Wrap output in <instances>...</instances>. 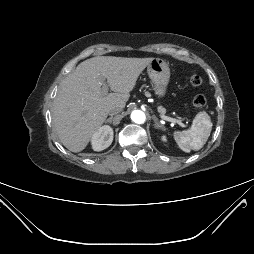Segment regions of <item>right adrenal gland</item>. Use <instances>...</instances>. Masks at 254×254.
I'll return each mask as SVG.
<instances>
[{"label":"right adrenal gland","instance_id":"2a0ac1e0","mask_svg":"<svg viewBox=\"0 0 254 254\" xmlns=\"http://www.w3.org/2000/svg\"><path fill=\"white\" fill-rule=\"evenodd\" d=\"M112 119H113V116H111L110 118H108V119L105 121V123H111Z\"/></svg>","mask_w":254,"mask_h":254}]
</instances>
